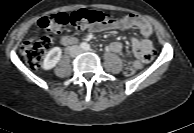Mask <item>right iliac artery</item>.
<instances>
[{
    "instance_id": "82829eb1",
    "label": "right iliac artery",
    "mask_w": 194,
    "mask_h": 133,
    "mask_svg": "<svg viewBox=\"0 0 194 133\" xmlns=\"http://www.w3.org/2000/svg\"><path fill=\"white\" fill-rule=\"evenodd\" d=\"M80 47L82 49H86L88 47V44L83 42V43L80 44Z\"/></svg>"
}]
</instances>
